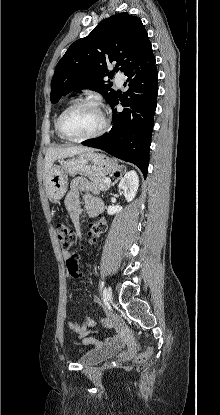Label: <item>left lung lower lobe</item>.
Instances as JSON below:
<instances>
[{"label":"left lung lower lobe","mask_w":220,"mask_h":415,"mask_svg":"<svg viewBox=\"0 0 220 415\" xmlns=\"http://www.w3.org/2000/svg\"><path fill=\"white\" fill-rule=\"evenodd\" d=\"M155 62L153 55L144 64L124 72L128 76L124 83L128 90L123 96L116 93L109 102L113 111L111 130L99 138L82 142L85 146L104 150L117 158L134 163L145 178L158 93ZM119 101L124 107L122 111L115 108Z\"/></svg>","instance_id":"1"}]
</instances>
